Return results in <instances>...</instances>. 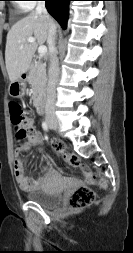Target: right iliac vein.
<instances>
[{"instance_id": "right-iliac-vein-1", "label": "right iliac vein", "mask_w": 133, "mask_h": 253, "mask_svg": "<svg viewBox=\"0 0 133 253\" xmlns=\"http://www.w3.org/2000/svg\"><path fill=\"white\" fill-rule=\"evenodd\" d=\"M50 127L54 128L55 130H59L60 129V125H59V122L57 120H54V119H50L48 121Z\"/></svg>"}]
</instances>
